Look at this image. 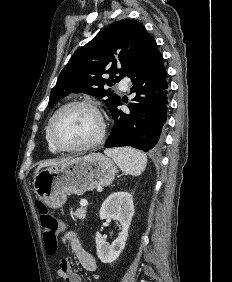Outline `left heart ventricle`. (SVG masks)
<instances>
[{
    "label": "left heart ventricle",
    "instance_id": "left-heart-ventricle-1",
    "mask_svg": "<svg viewBox=\"0 0 232 282\" xmlns=\"http://www.w3.org/2000/svg\"><path fill=\"white\" fill-rule=\"evenodd\" d=\"M100 122L93 110L74 106L64 110L54 123V136L63 145L76 146L93 140Z\"/></svg>",
    "mask_w": 232,
    "mask_h": 282
}]
</instances>
